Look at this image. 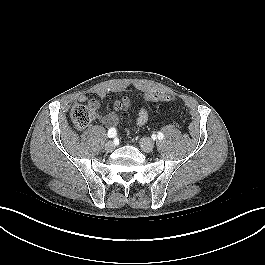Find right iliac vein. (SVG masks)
<instances>
[{
  "mask_svg": "<svg viewBox=\"0 0 265 265\" xmlns=\"http://www.w3.org/2000/svg\"><path fill=\"white\" fill-rule=\"evenodd\" d=\"M115 149V144L113 142H108L105 145V151L111 153Z\"/></svg>",
  "mask_w": 265,
  "mask_h": 265,
  "instance_id": "1",
  "label": "right iliac vein"
}]
</instances>
